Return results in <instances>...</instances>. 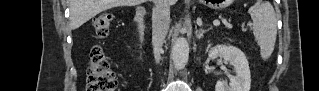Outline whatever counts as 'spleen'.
Listing matches in <instances>:
<instances>
[{
  "label": "spleen",
  "mask_w": 319,
  "mask_h": 91,
  "mask_svg": "<svg viewBox=\"0 0 319 91\" xmlns=\"http://www.w3.org/2000/svg\"><path fill=\"white\" fill-rule=\"evenodd\" d=\"M253 21V34L260 46V54L263 60H267L274 51L277 36V19L270 2L257 1L249 9Z\"/></svg>",
  "instance_id": "obj_1"
}]
</instances>
